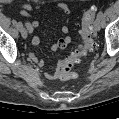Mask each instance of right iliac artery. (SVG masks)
<instances>
[{
  "label": "right iliac artery",
  "mask_w": 119,
  "mask_h": 119,
  "mask_svg": "<svg viewBox=\"0 0 119 119\" xmlns=\"http://www.w3.org/2000/svg\"><path fill=\"white\" fill-rule=\"evenodd\" d=\"M17 27L19 28V30H21V28L23 27V24H22V22H18V24H17Z\"/></svg>",
  "instance_id": "right-iliac-artery-1"
}]
</instances>
